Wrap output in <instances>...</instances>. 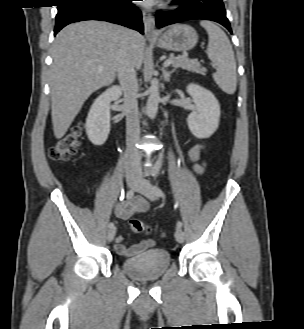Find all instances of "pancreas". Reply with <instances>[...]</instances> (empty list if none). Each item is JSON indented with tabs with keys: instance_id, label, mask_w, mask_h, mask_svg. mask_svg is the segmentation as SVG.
Wrapping results in <instances>:
<instances>
[{
	"instance_id": "cf45deb5",
	"label": "pancreas",
	"mask_w": 304,
	"mask_h": 329,
	"mask_svg": "<svg viewBox=\"0 0 304 329\" xmlns=\"http://www.w3.org/2000/svg\"><path fill=\"white\" fill-rule=\"evenodd\" d=\"M169 59L172 60L171 65L174 68H182L191 72L198 73L200 75H205L206 74V68L201 67L200 63L191 59H188L186 57H170Z\"/></svg>"
}]
</instances>
